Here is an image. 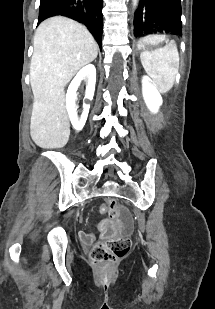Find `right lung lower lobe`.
<instances>
[{"label": "right lung lower lobe", "instance_id": "right-lung-lower-lobe-1", "mask_svg": "<svg viewBox=\"0 0 215 309\" xmlns=\"http://www.w3.org/2000/svg\"><path fill=\"white\" fill-rule=\"evenodd\" d=\"M37 26L52 16H66L83 23L101 47L103 0H40Z\"/></svg>", "mask_w": 215, "mask_h": 309}]
</instances>
